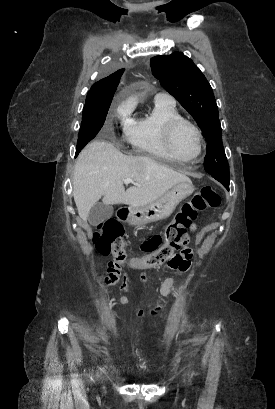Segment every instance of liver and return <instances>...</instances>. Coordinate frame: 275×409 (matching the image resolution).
Here are the masks:
<instances>
[{
  "label": "liver",
  "mask_w": 275,
  "mask_h": 409,
  "mask_svg": "<svg viewBox=\"0 0 275 409\" xmlns=\"http://www.w3.org/2000/svg\"><path fill=\"white\" fill-rule=\"evenodd\" d=\"M73 174V196L82 221L102 196L103 205L144 207L177 182L189 180L149 156H127L105 140H93L81 150ZM129 176L137 184L125 190L123 180Z\"/></svg>",
  "instance_id": "obj_1"
}]
</instances>
